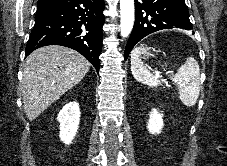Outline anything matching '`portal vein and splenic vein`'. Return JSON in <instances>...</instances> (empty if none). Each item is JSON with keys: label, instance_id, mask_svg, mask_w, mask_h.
Returning <instances> with one entry per match:
<instances>
[{"label": "portal vein and splenic vein", "instance_id": "1", "mask_svg": "<svg viewBox=\"0 0 227 166\" xmlns=\"http://www.w3.org/2000/svg\"><path fill=\"white\" fill-rule=\"evenodd\" d=\"M156 76L159 77V73H156Z\"/></svg>", "mask_w": 227, "mask_h": 166}]
</instances>
